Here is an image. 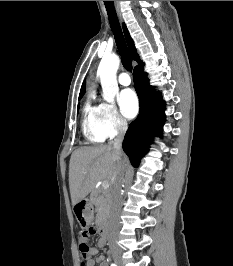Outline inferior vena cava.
<instances>
[{
	"label": "inferior vena cava",
	"instance_id": "1",
	"mask_svg": "<svg viewBox=\"0 0 233 266\" xmlns=\"http://www.w3.org/2000/svg\"><path fill=\"white\" fill-rule=\"evenodd\" d=\"M127 130V123L122 121L118 126V135L110 143V145L117 151H121L122 142L125 132ZM124 181V171H122L113 181L110 192V216L108 222V229L110 235H114L119 228V213L122 207L121 185Z\"/></svg>",
	"mask_w": 233,
	"mask_h": 266
}]
</instances>
